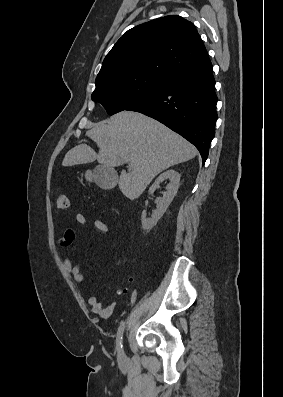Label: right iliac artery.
Returning a JSON list of instances; mask_svg holds the SVG:
<instances>
[{
	"label": "right iliac artery",
	"instance_id": "right-iliac-artery-1",
	"mask_svg": "<svg viewBox=\"0 0 283 397\" xmlns=\"http://www.w3.org/2000/svg\"><path fill=\"white\" fill-rule=\"evenodd\" d=\"M130 302L132 304H135L137 302L136 295H132V298L130 299ZM124 328H125V322L122 321L120 326H119V328H118L117 338H116V348H117L118 353H120L122 351V347H123L122 346V339H123Z\"/></svg>",
	"mask_w": 283,
	"mask_h": 397
}]
</instances>
